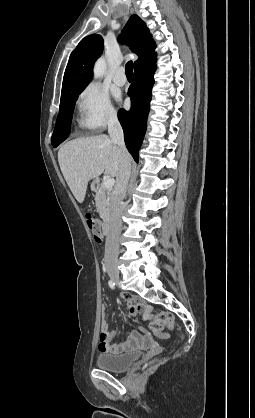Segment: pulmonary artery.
<instances>
[{"label": "pulmonary artery", "instance_id": "obj_1", "mask_svg": "<svg viewBox=\"0 0 255 418\" xmlns=\"http://www.w3.org/2000/svg\"><path fill=\"white\" fill-rule=\"evenodd\" d=\"M113 79L117 85L123 86L126 83L125 69L123 67H119Z\"/></svg>", "mask_w": 255, "mask_h": 418}]
</instances>
